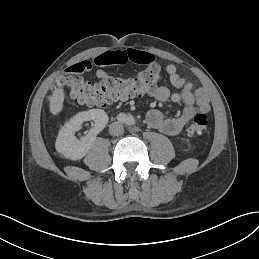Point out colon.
I'll return each mask as SVG.
<instances>
[{
    "label": "colon",
    "mask_w": 259,
    "mask_h": 259,
    "mask_svg": "<svg viewBox=\"0 0 259 259\" xmlns=\"http://www.w3.org/2000/svg\"><path fill=\"white\" fill-rule=\"evenodd\" d=\"M160 80V68L149 64L137 75L127 78L108 77L99 83H92L76 75H65L60 78L58 86L79 103L89 106L105 107L131 97L152 93ZM209 126L205 114H198L187 127L189 135L199 134Z\"/></svg>",
    "instance_id": "obj_1"
}]
</instances>
